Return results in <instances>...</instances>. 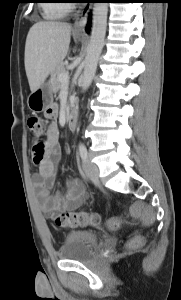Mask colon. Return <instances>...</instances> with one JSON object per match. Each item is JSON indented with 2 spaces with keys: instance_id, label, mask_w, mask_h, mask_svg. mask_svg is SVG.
<instances>
[{
  "instance_id": "colon-1",
  "label": "colon",
  "mask_w": 181,
  "mask_h": 300,
  "mask_svg": "<svg viewBox=\"0 0 181 300\" xmlns=\"http://www.w3.org/2000/svg\"><path fill=\"white\" fill-rule=\"evenodd\" d=\"M27 127L29 134L33 140V150L35 152H42L45 148V141L43 140L46 131V124L43 119L38 116H32L27 120ZM56 224L60 227L71 228L77 226H99L101 217L97 213H63L60 214L56 220ZM122 220L118 218H111L107 222L110 229H117L121 226ZM141 244V238L134 236L127 242L128 248H135Z\"/></svg>"
}]
</instances>
